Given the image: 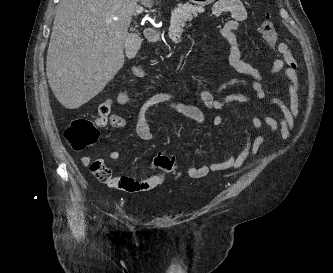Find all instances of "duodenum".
Instances as JSON below:
<instances>
[{
  "instance_id": "410a0bca",
  "label": "duodenum",
  "mask_w": 333,
  "mask_h": 273,
  "mask_svg": "<svg viewBox=\"0 0 333 273\" xmlns=\"http://www.w3.org/2000/svg\"><path fill=\"white\" fill-rule=\"evenodd\" d=\"M145 38L150 42H155L158 39V32L155 28H147L144 32Z\"/></svg>"
}]
</instances>
